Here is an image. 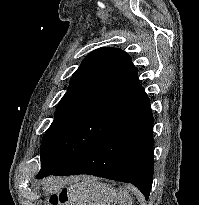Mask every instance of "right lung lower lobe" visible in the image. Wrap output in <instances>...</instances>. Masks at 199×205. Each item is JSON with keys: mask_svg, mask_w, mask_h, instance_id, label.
<instances>
[{"mask_svg": "<svg viewBox=\"0 0 199 205\" xmlns=\"http://www.w3.org/2000/svg\"><path fill=\"white\" fill-rule=\"evenodd\" d=\"M130 88L144 101V106L123 119L99 142L49 175L89 174L127 182L136 186L146 199L149 198L154 171V118L149 98L140 83L131 85ZM43 177L46 176H36L38 179Z\"/></svg>", "mask_w": 199, "mask_h": 205, "instance_id": "obj_1", "label": "right lung lower lobe"}]
</instances>
